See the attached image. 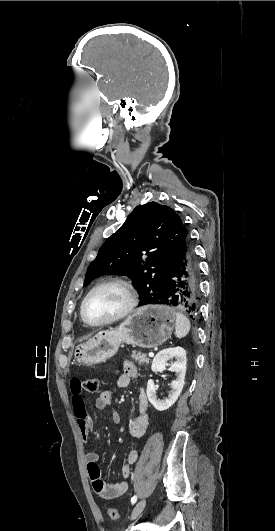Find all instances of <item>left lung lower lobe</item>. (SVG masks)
Masks as SVG:
<instances>
[{"instance_id":"left-lung-lower-lobe-1","label":"left lung lower lobe","mask_w":275,"mask_h":531,"mask_svg":"<svg viewBox=\"0 0 275 531\" xmlns=\"http://www.w3.org/2000/svg\"><path fill=\"white\" fill-rule=\"evenodd\" d=\"M200 271L194 246L189 235L180 246L172 264L165 291L154 304H163L184 310L193 317L199 307Z\"/></svg>"}]
</instances>
